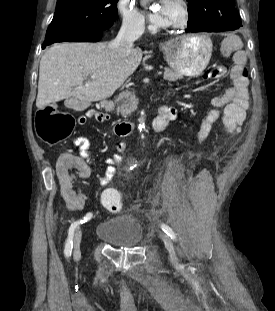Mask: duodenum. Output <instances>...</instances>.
<instances>
[{"label": "duodenum", "instance_id": "obj_1", "mask_svg": "<svg viewBox=\"0 0 275 311\" xmlns=\"http://www.w3.org/2000/svg\"><path fill=\"white\" fill-rule=\"evenodd\" d=\"M101 105L107 109H112L114 107V101L111 99H104L101 101ZM163 108L160 107L159 110ZM135 128V124L130 121H122L115 123L114 130L119 136H126L130 134Z\"/></svg>", "mask_w": 275, "mask_h": 311}]
</instances>
